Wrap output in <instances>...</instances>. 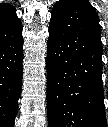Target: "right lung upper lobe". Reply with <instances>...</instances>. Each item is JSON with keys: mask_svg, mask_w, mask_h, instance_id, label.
<instances>
[{"mask_svg": "<svg viewBox=\"0 0 108 127\" xmlns=\"http://www.w3.org/2000/svg\"><path fill=\"white\" fill-rule=\"evenodd\" d=\"M17 18L15 8L11 4L0 5V22Z\"/></svg>", "mask_w": 108, "mask_h": 127, "instance_id": "right-lung-upper-lobe-1", "label": "right lung upper lobe"}]
</instances>
